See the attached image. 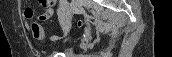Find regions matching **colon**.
I'll use <instances>...</instances> for the list:
<instances>
[{"instance_id": "1", "label": "colon", "mask_w": 172, "mask_h": 57, "mask_svg": "<svg viewBox=\"0 0 172 57\" xmlns=\"http://www.w3.org/2000/svg\"><path fill=\"white\" fill-rule=\"evenodd\" d=\"M25 11H26L28 14H31V13H32V6L29 5V6L25 9ZM82 25H83V22H82V21H79V22H78V26L81 27ZM30 31H31L32 37H33L34 39H37V40H39V39L42 37V35H43V30H42L41 26H40L38 23H36V22L32 23V25H31V27H30Z\"/></svg>"}]
</instances>
